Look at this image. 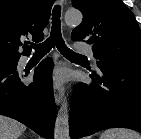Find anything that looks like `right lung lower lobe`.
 Wrapping results in <instances>:
<instances>
[{
	"mask_svg": "<svg viewBox=\"0 0 141 139\" xmlns=\"http://www.w3.org/2000/svg\"><path fill=\"white\" fill-rule=\"evenodd\" d=\"M16 67L0 69V115L16 119L42 137L53 139L57 112L51 77L53 62L42 61L29 85L21 82L22 74Z\"/></svg>",
	"mask_w": 141,
	"mask_h": 139,
	"instance_id": "98d812e1",
	"label": "right lung lower lobe"
}]
</instances>
